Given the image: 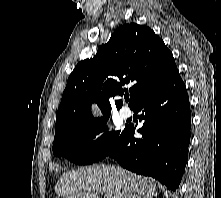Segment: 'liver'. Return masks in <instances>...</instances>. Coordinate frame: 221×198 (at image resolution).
I'll return each instance as SVG.
<instances>
[{
    "mask_svg": "<svg viewBox=\"0 0 221 198\" xmlns=\"http://www.w3.org/2000/svg\"><path fill=\"white\" fill-rule=\"evenodd\" d=\"M125 184L130 187L135 198L157 195L154 180L106 165L63 173L55 186V192L58 197L64 198H100L98 192L105 193L104 198H128L124 191Z\"/></svg>",
    "mask_w": 221,
    "mask_h": 198,
    "instance_id": "6515ba94",
    "label": "liver"
}]
</instances>
